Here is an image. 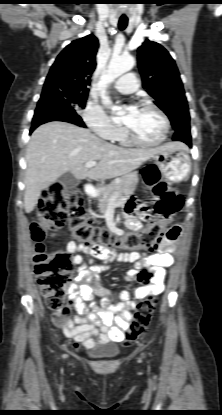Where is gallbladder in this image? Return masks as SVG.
<instances>
[{"mask_svg": "<svg viewBox=\"0 0 222 415\" xmlns=\"http://www.w3.org/2000/svg\"><path fill=\"white\" fill-rule=\"evenodd\" d=\"M58 182L69 189L75 188L79 184V180L75 178L71 172H65L64 174H62L59 177Z\"/></svg>", "mask_w": 222, "mask_h": 415, "instance_id": "1", "label": "gallbladder"}]
</instances>
